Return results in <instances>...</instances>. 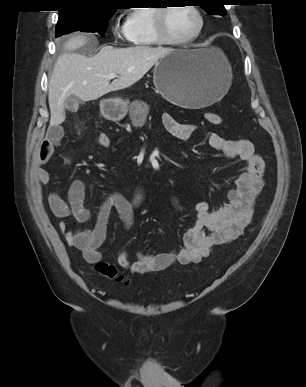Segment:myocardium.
I'll return each instance as SVG.
<instances>
[{"label":"myocardium","mask_w":306,"mask_h":387,"mask_svg":"<svg viewBox=\"0 0 306 387\" xmlns=\"http://www.w3.org/2000/svg\"><path fill=\"white\" fill-rule=\"evenodd\" d=\"M197 16L198 26L195 32L187 38L184 39H175L169 36L166 30V15L171 7L162 6L154 8L153 12V31L156 39L160 44L163 45H173V46H182L194 42L202 33L205 25V20L203 13L200 8L196 5L190 4L187 5Z\"/></svg>","instance_id":"f54148a6"}]
</instances>
